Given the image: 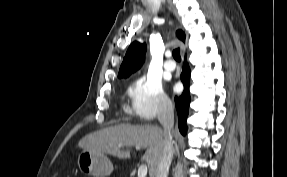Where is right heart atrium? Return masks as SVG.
I'll list each match as a JSON object with an SVG mask.
<instances>
[{"instance_id":"obj_1","label":"right heart atrium","mask_w":287,"mask_h":177,"mask_svg":"<svg viewBox=\"0 0 287 177\" xmlns=\"http://www.w3.org/2000/svg\"><path fill=\"white\" fill-rule=\"evenodd\" d=\"M134 113L143 122L165 114L170 108V100L159 77L146 74L136 78L128 87Z\"/></svg>"}]
</instances>
